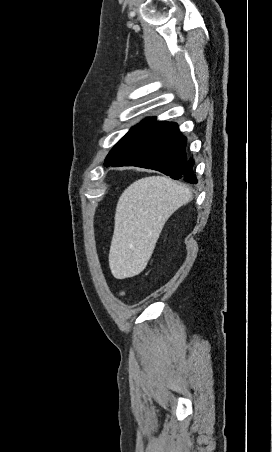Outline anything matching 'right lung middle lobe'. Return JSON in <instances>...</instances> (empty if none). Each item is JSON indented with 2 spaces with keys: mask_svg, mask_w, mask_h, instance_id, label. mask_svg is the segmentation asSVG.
Wrapping results in <instances>:
<instances>
[{
  "mask_svg": "<svg viewBox=\"0 0 272 452\" xmlns=\"http://www.w3.org/2000/svg\"><path fill=\"white\" fill-rule=\"evenodd\" d=\"M155 118L142 121L131 130L113 147L105 159V166L114 164L125 152H127L155 123Z\"/></svg>",
  "mask_w": 272,
  "mask_h": 452,
  "instance_id": "right-lung-middle-lobe-1",
  "label": "right lung middle lobe"
}]
</instances>
